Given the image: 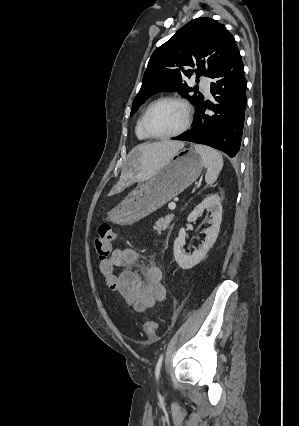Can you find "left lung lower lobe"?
<instances>
[{
  "label": "left lung lower lobe",
  "mask_w": 299,
  "mask_h": 426,
  "mask_svg": "<svg viewBox=\"0 0 299 426\" xmlns=\"http://www.w3.org/2000/svg\"><path fill=\"white\" fill-rule=\"evenodd\" d=\"M213 103L202 102L196 110L192 129L173 140L204 144L231 158L240 152L245 120L247 81L239 50L233 51L211 77ZM211 109L215 114L206 115Z\"/></svg>",
  "instance_id": "left-lung-lower-lobe-1"
}]
</instances>
